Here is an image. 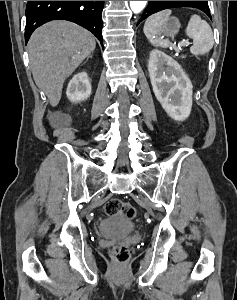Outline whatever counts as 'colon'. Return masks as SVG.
<instances>
[{"mask_svg": "<svg viewBox=\"0 0 237 300\" xmlns=\"http://www.w3.org/2000/svg\"><path fill=\"white\" fill-rule=\"evenodd\" d=\"M104 211L107 215H121L127 219H133L136 215V209L131 203L118 198L107 201ZM110 253L118 263H125L132 254V246L129 242H121L112 246Z\"/></svg>", "mask_w": 237, "mask_h": 300, "instance_id": "5ec220e1", "label": "colon"}]
</instances>
